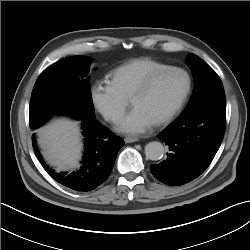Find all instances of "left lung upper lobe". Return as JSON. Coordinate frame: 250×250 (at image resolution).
<instances>
[{
    "mask_svg": "<svg viewBox=\"0 0 250 250\" xmlns=\"http://www.w3.org/2000/svg\"><path fill=\"white\" fill-rule=\"evenodd\" d=\"M187 64L192 70L195 85L191 101L182 114L190 112L215 97L225 95L220 78L205 61L195 54H189Z\"/></svg>",
    "mask_w": 250,
    "mask_h": 250,
    "instance_id": "left-lung-upper-lobe-1",
    "label": "left lung upper lobe"
}]
</instances>
